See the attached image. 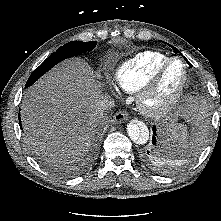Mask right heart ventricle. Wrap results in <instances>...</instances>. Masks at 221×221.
<instances>
[{
	"instance_id": "1",
	"label": "right heart ventricle",
	"mask_w": 221,
	"mask_h": 221,
	"mask_svg": "<svg viewBox=\"0 0 221 221\" xmlns=\"http://www.w3.org/2000/svg\"><path fill=\"white\" fill-rule=\"evenodd\" d=\"M169 59L158 51L141 52L116 69L115 79L124 91L137 92Z\"/></svg>"
}]
</instances>
